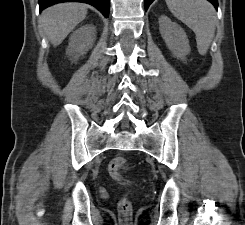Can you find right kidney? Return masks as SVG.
<instances>
[{
	"mask_svg": "<svg viewBox=\"0 0 245 225\" xmlns=\"http://www.w3.org/2000/svg\"><path fill=\"white\" fill-rule=\"evenodd\" d=\"M95 27L85 25L73 32L69 39L67 54L77 59L93 46L95 41Z\"/></svg>",
	"mask_w": 245,
	"mask_h": 225,
	"instance_id": "right-kidney-1",
	"label": "right kidney"
}]
</instances>
